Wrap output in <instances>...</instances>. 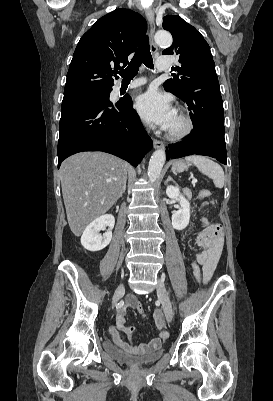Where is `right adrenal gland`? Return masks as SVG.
I'll list each match as a JSON object with an SVG mask.
<instances>
[{
	"label": "right adrenal gland",
	"instance_id": "obj_1",
	"mask_svg": "<svg viewBox=\"0 0 273 401\" xmlns=\"http://www.w3.org/2000/svg\"><path fill=\"white\" fill-rule=\"evenodd\" d=\"M126 180H127V178H126ZM126 180H125V184H124V190H123V192H125V190H126ZM121 196H122V194H121Z\"/></svg>",
	"mask_w": 273,
	"mask_h": 401
}]
</instances>
